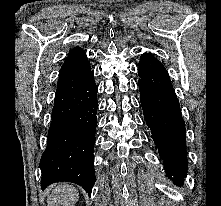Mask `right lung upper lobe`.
Wrapping results in <instances>:
<instances>
[{
	"label": "right lung upper lobe",
	"mask_w": 221,
	"mask_h": 206,
	"mask_svg": "<svg viewBox=\"0 0 221 206\" xmlns=\"http://www.w3.org/2000/svg\"><path fill=\"white\" fill-rule=\"evenodd\" d=\"M87 62L88 60L84 50H82L80 47L73 48L69 52L68 57L60 69L59 77L77 69Z\"/></svg>",
	"instance_id": "obj_1"
}]
</instances>
